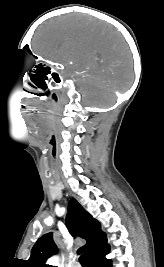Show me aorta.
I'll return each instance as SVG.
<instances>
[{
  "mask_svg": "<svg viewBox=\"0 0 164 267\" xmlns=\"http://www.w3.org/2000/svg\"><path fill=\"white\" fill-rule=\"evenodd\" d=\"M48 262L51 263L53 266H56L59 264V259L58 257L55 256V257L50 258Z\"/></svg>",
  "mask_w": 164,
  "mask_h": 267,
  "instance_id": "762f6f07",
  "label": "aorta"
}]
</instances>
